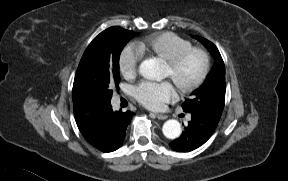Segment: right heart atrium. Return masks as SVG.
Wrapping results in <instances>:
<instances>
[{
    "label": "right heart atrium",
    "instance_id": "1",
    "mask_svg": "<svg viewBox=\"0 0 288 181\" xmlns=\"http://www.w3.org/2000/svg\"><path fill=\"white\" fill-rule=\"evenodd\" d=\"M142 54L134 45L126 46L120 53L118 59V67L121 74L127 78L132 79L136 76Z\"/></svg>",
    "mask_w": 288,
    "mask_h": 181
}]
</instances>
